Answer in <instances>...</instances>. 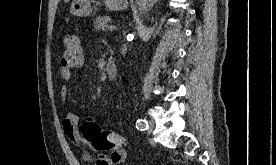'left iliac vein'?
<instances>
[{"label":"left iliac vein","mask_w":276,"mask_h":165,"mask_svg":"<svg viewBox=\"0 0 276 165\" xmlns=\"http://www.w3.org/2000/svg\"><path fill=\"white\" fill-rule=\"evenodd\" d=\"M154 127H155L154 121H153V120H150V121H149V124H148L147 132H148L149 134H151L152 131H153V129H154Z\"/></svg>","instance_id":"1"}]
</instances>
